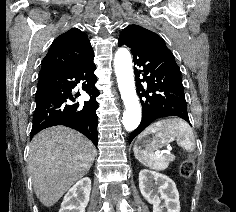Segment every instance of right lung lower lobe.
Instances as JSON below:
<instances>
[{
    "label": "right lung lower lobe",
    "mask_w": 236,
    "mask_h": 212,
    "mask_svg": "<svg viewBox=\"0 0 236 212\" xmlns=\"http://www.w3.org/2000/svg\"><path fill=\"white\" fill-rule=\"evenodd\" d=\"M93 59L92 50L71 67L39 74L31 138L47 127L65 125L81 132L97 145L96 97L99 91L95 87L97 77ZM78 84L90 95L89 101H76L80 94H73L72 90Z\"/></svg>",
    "instance_id": "obj_1"
}]
</instances>
